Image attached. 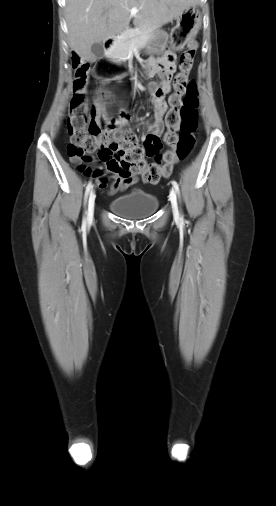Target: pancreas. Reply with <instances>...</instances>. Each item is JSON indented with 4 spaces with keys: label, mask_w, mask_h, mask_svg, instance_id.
Here are the masks:
<instances>
[{
    "label": "pancreas",
    "mask_w": 276,
    "mask_h": 506,
    "mask_svg": "<svg viewBox=\"0 0 276 506\" xmlns=\"http://www.w3.org/2000/svg\"><path fill=\"white\" fill-rule=\"evenodd\" d=\"M155 30L156 27L138 26L135 29H127L123 31L116 38L113 46L109 49L107 53L108 57L118 61L126 59L131 46H146Z\"/></svg>",
    "instance_id": "pancreas-1"
}]
</instances>
